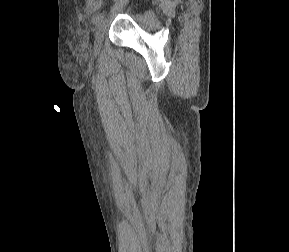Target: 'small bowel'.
<instances>
[{
    "label": "small bowel",
    "mask_w": 289,
    "mask_h": 252,
    "mask_svg": "<svg viewBox=\"0 0 289 252\" xmlns=\"http://www.w3.org/2000/svg\"><path fill=\"white\" fill-rule=\"evenodd\" d=\"M85 11L88 14H93L100 10L104 5V0H83Z\"/></svg>",
    "instance_id": "1"
}]
</instances>
